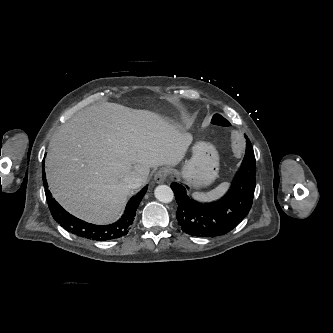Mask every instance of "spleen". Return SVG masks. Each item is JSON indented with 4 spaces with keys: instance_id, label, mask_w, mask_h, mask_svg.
<instances>
[{
    "instance_id": "obj_1",
    "label": "spleen",
    "mask_w": 333,
    "mask_h": 333,
    "mask_svg": "<svg viewBox=\"0 0 333 333\" xmlns=\"http://www.w3.org/2000/svg\"><path fill=\"white\" fill-rule=\"evenodd\" d=\"M229 187L228 182H223L220 185H218L215 189L209 191V192H195L194 198L200 201H212L216 200L222 195H224Z\"/></svg>"
}]
</instances>
